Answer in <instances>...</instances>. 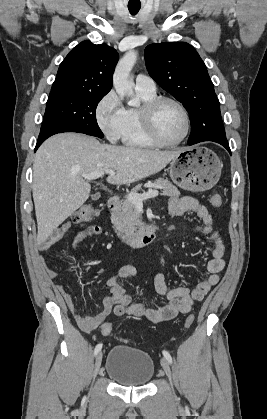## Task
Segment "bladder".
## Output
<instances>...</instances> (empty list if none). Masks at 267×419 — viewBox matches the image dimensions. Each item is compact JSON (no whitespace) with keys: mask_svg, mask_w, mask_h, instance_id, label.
<instances>
[{"mask_svg":"<svg viewBox=\"0 0 267 419\" xmlns=\"http://www.w3.org/2000/svg\"><path fill=\"white\" fill-rule=\"evenodd\" d=\"M106 374L122 386H144L153 378L155 366L151 356L139 349L114 346L108 353Z\"/></svg>","mask_w":267,"mask_h":419,"instance_id":"bladder-1","label":"bladder"}]
</instances>
